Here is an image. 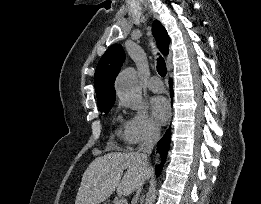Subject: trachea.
I'll use <instances>...</instances> for the list:
<instances>
[{
  "instance_id": "obj_1",
  "label": "trachea",
  "mask_w": 261,
  "mask_h": 204,
  "mask_svg": "<svg viewBox=\"0 0 261 204\" xmlns=\"http://www.w3.org/2000/svg\"><path fill=\"white\" fill-rule=\"evenodd\" d=\"M157 71L160 76L162 77L166 76L167 73L166 64L164 59L161 57L157 60Z\"/></svg>"
}]
</instances>
